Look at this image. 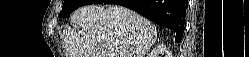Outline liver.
<instances>
[{
	"label": "liver",
	"mask_w": 249,
	"mask_h": 57,
	"mask_svg": "<svg viewBox=\"0 0 249 57\" xmlns=\"http://www.w3.org/2000/svg\"><path fill=\"white\" fill-rule=\"evenodd\" d=\"M66 30L68 57H145L157 39L156 26L120 5L89 4L77 9Z\"/></svg>",
	"instance_id": "obj_1"
}]
</instances>
